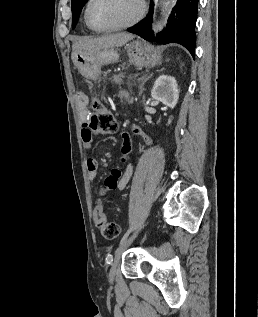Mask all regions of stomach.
Instances as JSON below:
<instances>
[{"label":"stomach","instance_id":"stomach-1","mask_svg":"<svg viewBox=\"0 0 258 317\" xmlns=\"http://www.w3.org/2000/svg\"><path fill=\"white\" fill-rule=\"evenodd\" d=\"M130 62L135 66H155L161 64L162 54L159 50L146 46L141 40H133L125 46ZM119 52L117 48H102V50H73L72 60L83 76H96L99 74L102 64H109L118 60Z\"/></svg>","mask_w":258,"mask_h":317}]
</instances>
